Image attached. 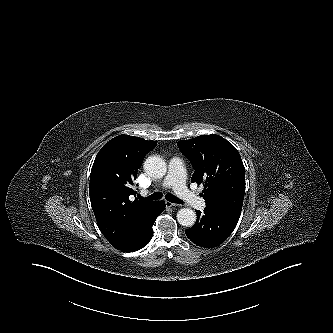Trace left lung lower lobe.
Returning <instances> with one entry per match:
<instances>
[{
    "mask_svg": "<svg viewBox=\"0 0 333 333\" xmlns=\"http://www.w3.org/2000/svg\"><path fill=\"white\" fill-rule=\"evenodd\" d=\"M197 221L186 230L187 237L196 245L212 248L224 242L235 229L238 220L222 212L205 207L204 212L196 210Z\"/></svg>",
    "mask_w": 333,
    "mask_h": 333,
    "instance_id": "left-lung-lower-lobe-1",
    "label": "left lung lower lobe"
}]
</instances>
